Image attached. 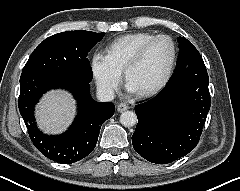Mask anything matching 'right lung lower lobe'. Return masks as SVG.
Instances as JSON below:
<instances>
[{
  "label": "right lung lower lobe",
  "mask_w": 240,
  "mask_h": 191,
  "mask_svg": "<svg viewBox=\"0 0 240 191\" xmlns=\"http://www.w3.org/2000/svg\"><path fill=\"white\" fill-rule=\"evenodd\" d=\"M52 88L69 90L78 101V114L71 127L61 135H46L34 119V106ZM19 111L31 141L52 161L70 164L90 154L97 143L101 125L113 116L114 104L92 99L89 82L59 72L27 73L20 77Z\"/></svg>",
  "instance_id": "1"
}]
</instances>
